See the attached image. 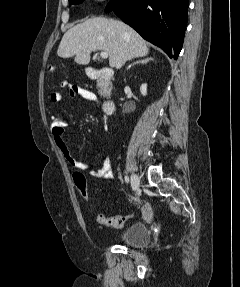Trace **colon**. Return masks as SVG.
Listing matches in <instances>:
<instances>
[{
    "instance_id": "1",
    "label": "colon",
    "mask_w": 240,
    "mask_h": 287,
    "mask_svg": "<svg viewBox=\"0 0 240 287\" xmlns=\"http://www.w3.org/2000/svg\"><path fill=\"white\" fill-rule=\"evenodd\" d=\"M68 126L67 120L60 114H54L50 121L51 132L53 135H63L66 128ZM73 181L75 183L76 188L80 192L83 199L88 202L90 199L86 178L81 172H75L73 174ZM129 217L123 215H117L113 217H106L103 214H97L96 220L99 224L105 226H111L114 228H121L124 226L125 222Z\"/></svg>"
}]
</instances>
